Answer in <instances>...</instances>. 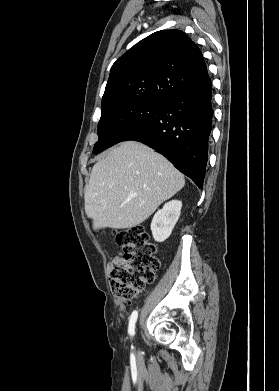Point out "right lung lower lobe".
I'll use <instances>...</instances> for the list:
<instances>
[{
	"instance_id": "right-lung-lower-lobe-1",
	"label": "right lung lower lobe",
	"mask_w": 279,
	"mask_h": 391,
	"mask_svg": "<svg viewBox=\"0 0 279 391\" xmlns=\"http://www.w3.org/2000/svg\"><path fill=\"white\" fill-rule=\"evenodd\" d=\"M211 79L200 81L164 102L157 115L123 141H140L163 154L202 189L213 109Z\"/></svg>"
}]
</instances>
